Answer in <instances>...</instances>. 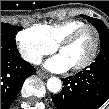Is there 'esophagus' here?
<instances>
[{
    "mask_svg": "<svg viewBox=\"0 0 109 109\" xmlns=\"http://www.w3.org/2000/svg\"><path fill=\"white\" fill-rule=\"evenodd\" d=\"M37 74H38L40 77L45 78V79L49 77L48 74H46V73H44V72H41V71H38Z\"/></svg>",
    "mask_w": 109,
    "mask_h": 109,
    "instance_id": "34e87169",
    "label": "esophagus"
}]
</instances>
